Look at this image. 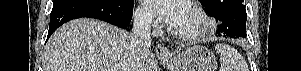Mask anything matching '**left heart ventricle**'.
Returning a JSON list of instances; mask_svg holds the SVG:
<instances>
[{
	"instance_id": "1",
	"label": "left heart ventricle",
	"mask_w": 301,
	"mask_h": 71,
	"mask_svg": "<svg viewBox=\"0 0 301 71\" xmlns=\"http://www.w3.org/2000/svg\"><path fill=\"white\" fill-rule=\"evenodd\" d=\"M197 25V19L196 17L193 15V13L187 8L185 7L183 15H182V19L180 21V24L177 28V30H189L194 28Z\"/></svg>"
}]
</instances>
